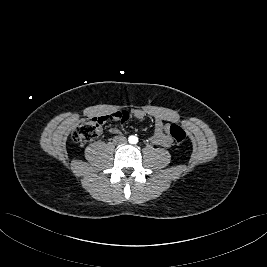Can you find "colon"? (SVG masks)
Masks as SVG:
<instances>
[{"label":"colon","mask_w":267,"mask_h":267,"mask_svg":"<svg viewBox=\"0 0 267 267\" xmlns=\"http://www.w3.org/2000/svg\"><path fill=\"white\" fill-rule=\"evenodd\" d=\"M107 120H118L125 122L127 120V114L123 111H118L110 117L101 116L86 119L73 129V140L78 143H85L95 139L99 136L102 125ZM169 132L171 137L178 144L183 143L186 139L185 130L177 124H172L170 126Z\"/></svg>","instance_id":"1"}]
</instances>
